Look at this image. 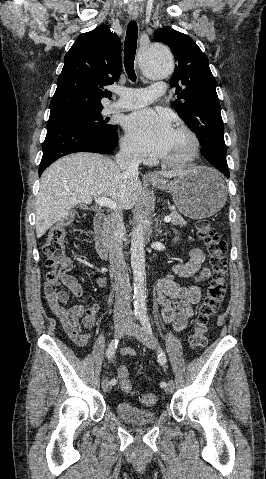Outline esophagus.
<instances>
[{"label": "esophagus", "instance_id": "34e87169", "mask_svg": "<svg viewBox=\"0 0 266 479\" xmlns=\"http://www.w3.org/2000/svg\"><path fill=\"white\" fill-rule=\"evenodd\" d=\"M129 15H130V17H131L132 19H135V18L138 17L139 12H138V10H136V9H130V10H129ZM147 176H148L149 178H158V175L155 174V173H153V172H148V173H147Z\"/></svg>", "mask_w": 266, "mask_h": 479}]
</instances>
